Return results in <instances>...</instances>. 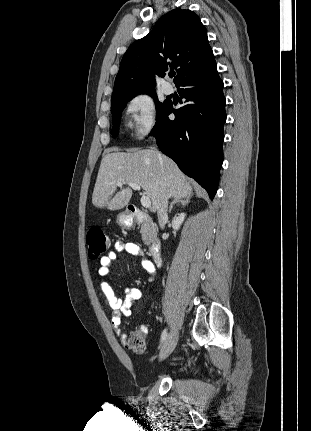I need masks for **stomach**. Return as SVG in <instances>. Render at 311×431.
<instances>
[{
    "instance_id": "0dacf381",
    "label": "stomach",
    "mask_w": 311,
    "mask_h": 431,
    "mask_svg": "<svg viewBox=\"0 0 311 431\" xmlns=\"http://www.w3.org/2000/svg\"><path fill=\"white\" fill-rule=\"evenodd\" d=\"M116 221L120 227H123V229H133L136 225L134 216H129L127 212H121V214H118Z\"/></svg>"
}]
</instances>
